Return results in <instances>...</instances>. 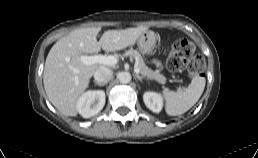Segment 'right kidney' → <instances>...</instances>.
<instances>
[{"mask_svg": "<svg viewBox=\"0 0 258 158\" xmlns=\"http://www.w3.org/2000/svg\"><path fill=\"white\" fill-rule=\"evenodd\" d=\"M105 100V92L103 90H90L79 97L76 109L82 117L90 118L97 115L103 109Z\"/></svg>", "mask_w": 258, "mask_h": 158, "instance_id": "right-kidney-1", "label": "right kidney"}]
</instances>
